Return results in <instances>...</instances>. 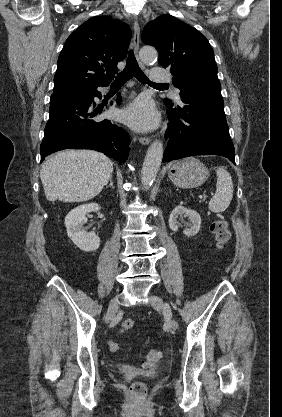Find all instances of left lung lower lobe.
<instances>
[{"label":"left lung lower lobe","mask_w":282,"mask_h":417,"mask_svg":"<svg viewBox=\"0 0 282 417\" xmlns=\"http://www.w3.org/2000/svg\"><path fill=\"white\" fill-rule=\"evenodd\" d=\"M183 107L168 106V145L163 162L193 155H220L235 164L234 146L224 113L220 88L193 85L181 95Z\"/></svg>","instance_id":"obj_1"}]
</instances>
